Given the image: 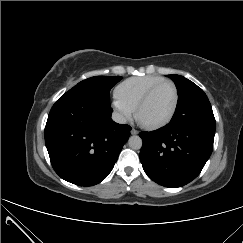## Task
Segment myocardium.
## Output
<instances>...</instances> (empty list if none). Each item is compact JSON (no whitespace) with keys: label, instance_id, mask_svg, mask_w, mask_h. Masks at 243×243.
<instances>
[{"label":"myocardium","instance_id":"myocardium-1","mask_svg":"<svg viewBox=\"0 0 243 243\" xmlns=\"http://www.w3.org/2000/svg\"><path fill=\"white\" fill-rule=\"evenodd\" d=\"M168 84L172 87L173 91H174V103H173V107L171 109V112L169 113V115L162 121L157 122V123H143L140 121L139 119V113L141 112V110L144 108V106L147 104V102L149 101V99L151 98V96L153 95V93L159 89L161 86ZM178 105H179V91L178 88L176 86V84L169 80V79H163L160 82L156 83L155 85H153L144 95L143 97L140 99V101L138 102V104L135 107L134 110V117L137 120V122L145 129L147 130H158L161 129L165 126H167L175 117V114L177 112L178 109Z\"/></svg>","mask_w":243,"mask_h":243}]
</instances>
